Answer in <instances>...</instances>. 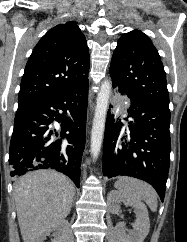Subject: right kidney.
<instances>
[{
  "mask_svg": "<svg viewBox=\"0 0 187 242\" xmlns=\"http://www.w3.org/2000/svg\"><path fill=\"white\" fill-rule=\"evenodd\" d=\"M67 229H68V221L61 220L59 223L54 225L51 229L45 231V233L40 235L37 238L36 242H44L46 236L49 235L50 232H54V239L52 240V242H62L64 234L67 231Z\"/></svg>",
  "mask_w": 187,
  "mask_h": 242,
  "instance_id": "1",
  "label": "right kidney"
}]
</instances>
